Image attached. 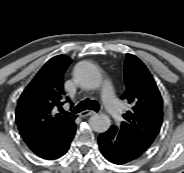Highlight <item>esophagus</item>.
<instances>
[{
	"label": "esophagus",
	"instance_id": "1",
	"mask_svg": "<svg viewBox=\"0 0 184 173\" xmlns=\"http://www.w3.org/2000/svg\"><path fill=\"white\" fill-rule=\"evenodd\" d=\"M94 114H96L95 111H92V110H85V111H82V112L79 114V116H80L81 118H84V117L91 116V115H94Z\"/></svg>",
	"mask_w": 184,
	"mask_h": 173
}]
</instances>
